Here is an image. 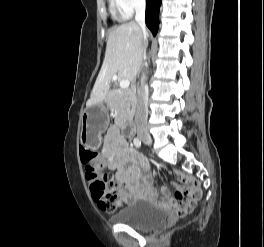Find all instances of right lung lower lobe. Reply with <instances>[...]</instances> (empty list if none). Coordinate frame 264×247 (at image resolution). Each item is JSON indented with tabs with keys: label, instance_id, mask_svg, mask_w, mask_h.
Masks as SVG:
<instances>
[{
	"label": "right lung lower lobe",
	"instance_id": "1",
	"mask_svg": "<svg viewBox=\"0 0 264 247\" xmlns=\"http://www.w3.org/2000/svg\"><path fill=\"white\" fill-rule=\"evenodd\" d=\"M161 5V0H146V25L151 30L152 34L155 36L158 32V15L159 7Z\"/></svg>",
	"mask_w": 264,
	"mask_h": 247
}]
</instances>
